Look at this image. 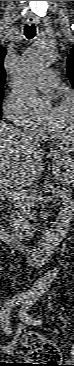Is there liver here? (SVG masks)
<instances>
[{
  "instance_id": "6515ba94",
  "label": "liver",
  "mask_w": 74,
  "mask_h": 366,
  "mask_svg": "<svg viewBox=\"0 0 74 366\" xmlns=\"http://www.w3.org/2000/svg\"><path fill=\"white\" fill-rule=\"evenodd\" d=\"M45 153L23 132L0 123V183L2 187L22 188L41 178ZM57 151L51 153L54 159Z\"/></svg>"
}]
</instances>
